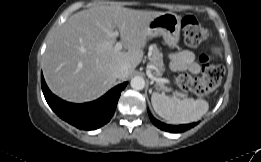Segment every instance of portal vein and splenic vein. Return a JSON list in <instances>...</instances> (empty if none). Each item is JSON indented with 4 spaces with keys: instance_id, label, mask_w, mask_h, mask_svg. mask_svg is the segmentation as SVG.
Returning a JSON list of instances; mask_svg holds the SVG:
<instances>
[{
    "instance_id": "portal-vein-and-splenic-vein-1",
    "label": "portal vein and splenic vein",
    "mask_w": 261,
    "mask_h": 162,
    "mask_svg": "<svg viewBox=\"0 0 261 162\" xmlns=\"http://www.w3.org/2000/svg\"><path fill=\"white\" fill-rule=\"evenodd\" d=\"M112 35L118 36V32L115 31V32L112 33ZM122 47H123L122 43H121V42H117V43L115 44V46H114V49H115L116 51H120V50L122 49ZM147 75H148V77H149L150 79H152V80H154V81H156V82H159V83H166V82H168L167 79L157 78V77L153 76L152 73H151V71H150L149 69L147 70Z\"/></svg>"
}]
</instances>
